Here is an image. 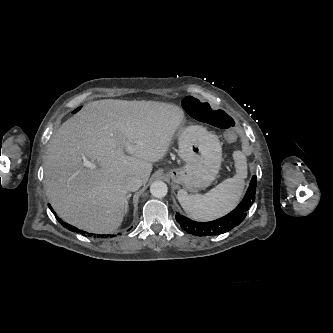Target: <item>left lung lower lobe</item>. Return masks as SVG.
Returning a JSON list of instances; mask_svg holds the SVG:
<instances>
[{
  "label": "left lung lower lobe",
  "instance_id": "1",
  "mask_svg": "<svg viewBox=\"0 0 333 333\" xmlns=\"http://www.w3.org/2000/svg\"><path fill=\"white\" fill-rule=\"evenodd\" d=\"M256 180L257 177L253 176L244 199L238 207L227 216L212 222H196L177 213V222L182 229L196 236H213L230 231L243 221L247 215V211L252 206L256 193Z\"/></svg>",
  "mask_w": 333,
  "mask_h": 333
}]
</instances>
